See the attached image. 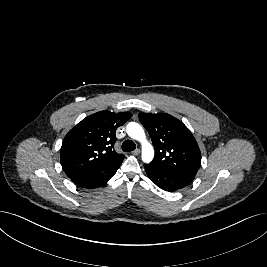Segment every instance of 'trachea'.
<instances>
[{"label": "trachea", "instance_id": "trachea-1", "mask_svg": "<svg viewBox=\"0 0 267 267\" xmlns=\"http://www.w3.org/2000/svg\"><path fill=\"white\" fill-rule=\"evenodd\" d=\"M136 145L132 140H125L122 143V150L125 152L133 151L135 150Z\"/></svg>", "mask_w": 267, "mask_h": 267}]
</instances>
